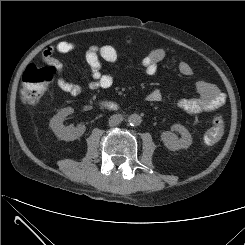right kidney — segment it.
Segmentation results:
<instances>
[{
	"label": "right kidney",
	"instance_id": "obj_1",
	"mask_svg": "<svg viewBox=\"0 0 245 245\" xmlns=\"http://www.w3.org/2000/svg\"><path fill=\"white\" fill-rule=\"evenodd\" d=\"M73 112L74 109L71 107L63 108L50 120L52 131L61 140H76L81 137L86 130L84 125H78L77 127L63 125L64 119Z\"/></svg>",
	"mask_w": 245,
	"mask_h": 245
}]
</instances>
